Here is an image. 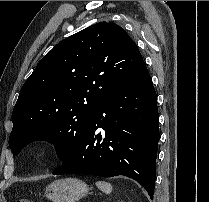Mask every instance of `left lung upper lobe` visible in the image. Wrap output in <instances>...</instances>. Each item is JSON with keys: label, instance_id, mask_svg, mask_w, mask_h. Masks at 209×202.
Returning a JSON list of instances; mask_svg holds the SVG:
<instances>
[{"label": "left lung upper lobe", "instance_id": "1", "mask_svg": "<svg viewBox=\"0 0 209 202\" xmlns=\"http://www.w3.org/2000/svg\"><path fill=\"white\" fill-rule=\"evenodd\" d=\"M144 66L136 43L115 23L94 24L59 42L20 91L9 137L13 155L45 140L63 163L84 137L96 105Z\"/></svg>", "mask_w": 209, "mask_h": 202}]
</instances>
